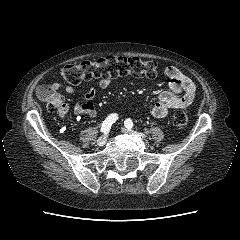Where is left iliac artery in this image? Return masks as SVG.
<instances>
[{"mask_svg":"<svg viewBox=\"0 0 240 240\" xmlns=\"http://www.w3.org/2000/svg\"><path fill=\"white\" fill-rule=\"evenodd\" d=\"M124 125L127 129H132L134 124L132 122V120L130 118H127L125 121H124Z\"/></svg>","mask_w":240,"mask_h":240,"instance_id":"44dca946","label":"left iliac artery"}]
</instances>
